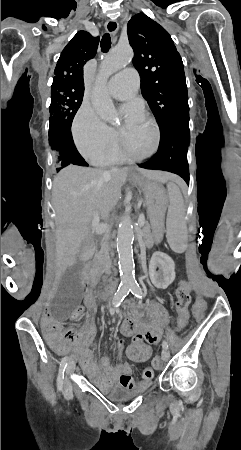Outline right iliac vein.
Listing matches in <instances>:
<instances>
[{
	"label": "right iliac vein",
	"mask_w": 241,
	"mask_h": 450,
	"mask_svg": "<svg viewBox=\"0 0 241 450\" xmlns=\"http://www.w3.org/2000/svg\"><path fill=\"white\" fill-rule=\"evenodd\" d=\"M75 368V362L74 361H70V363L68 364V369L66 371L67 376L66 379L64 381V391L67 395H69L71 393L72 390V385H71V381L69 379V375H71V370H74Z\"/></svg>",
	"instance_id": "right-iliac-vein-1"
}]
</instances>
